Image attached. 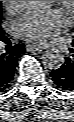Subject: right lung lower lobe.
<instances>
[{"mask_svg": "<svg viewBox=\"0 0 74 122\" xmlns=\"http://www.w3.org/2000/svg\"><path fill=\"white\" fill-rule=\"evenodd\" d=\"M25 52L23 44L11 47L8 52L0 49V92L7 89L13 79L18 59Z\"/></svg>", "mask_w": 74, "mask_h": 122, "instance_id": "right-lung-lower-lobe-1", "label": "right lung lower lobe"}]
</instances>
